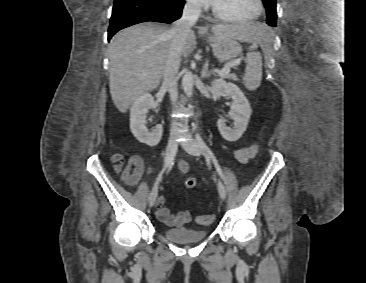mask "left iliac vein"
Segmentation results:
<instances>
[{"mask_svg":"<svg viewBox=\"0 0 366 283\" xmlns=\"http://www.w3.org/2000/svg\"><path fill=\"white\" fill-rule=\"evenodd\" d=\"M182 147L186 152H188L191 155L200 156L202 154L201 147L197 140H193V139L188 140V141L182 143ZM217 187H218V192H219L220 197L222 199H225L226 198V189L220 180L217 181Z\"/></svg>","mask_w":366,"mask_h":283,"instance_id":"1","label":"left iliac vein"}]
</instances>
